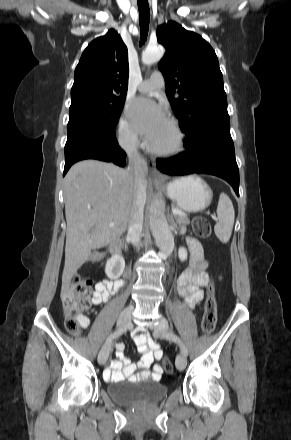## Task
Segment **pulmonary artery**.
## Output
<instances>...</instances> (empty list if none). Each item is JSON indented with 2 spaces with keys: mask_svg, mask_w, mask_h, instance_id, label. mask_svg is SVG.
Wrapping results in <instances>:
<instances>
[{
  "mask_svg": "<svg viewBox=\"0 0 291 440\" xmlns=\"http://www.w3.org/2000/svg\"><path fill=\"white\" fill-rule=\"evenodd\" d=\"M165 80L161 73H153L148 79L143 80L139 86L138 90L140 92H152L156 89H160L164 86Z\"/></svg>",
  "mask_w": 291,
  "mask_h": 440,
  "instance_id": "e3ab8cb5",
  "label": "pulmonary artery"
}]
</instances>
